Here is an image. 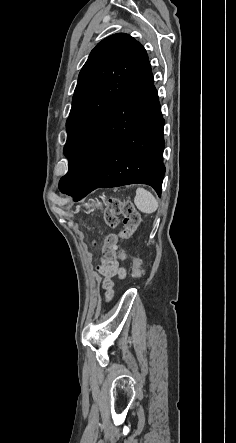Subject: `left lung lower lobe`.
I'll use <instances>...</instances> for the list:
<instances>
[{
  "mask_svg": "<svg viewBox=\"0 0 236 443\" xmlns=\"http://www.w3.org/2000/svg\"><path fill=\"white\" fill-rule=\"evenodd\" d=\"M153 82L148 61L74 149L61 192L78 201L99 187L143 183L161 195L165 121Z\"/></svg>",
  "mask_w": 236,
  "mask_h": 443,
  "instance_id": "obj_1",
  "label": "left lung lower lobe"
}]
</instances>
